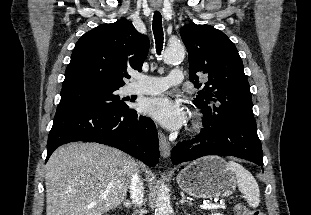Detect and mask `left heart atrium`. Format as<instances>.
<instances>
[{
  "instance_id": "39dd6f15",
  "label": "left heart atrium",
  "mask_w": 311,
  "mask_h": 215,
  "mask_svg": "<svg viewBox=\"0 0 311 215\" xmlns=\"http://www.w3.org/2000/svg\"><path fill=\"white\" fill-rule=\"evenodd\" d=\"M141 112L169 130L179 129L186 119V110L179 101L161 95L146 99Z\"/></svg>"
}]
</instances>
